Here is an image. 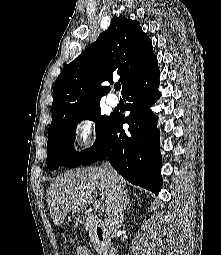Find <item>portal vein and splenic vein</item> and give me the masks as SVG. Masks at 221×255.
<instances>
[{
  "label": "portal vein and splenic vein",
  "mask_w": 221,
  "mask_h": 255,
  "mask_svg": "<svg viewBox=\"0 0 221 255\" xmlns=\"http://www.w3.org/2000/svg\"><path fill=\"white\" fill-rule=\"evenodd\" d=\"M103 207H102V204H101V202H96L95 203V209L96 210H99V209H102Z\"/></svg>",
  "instance_id": "obj_1"
}]
</instances>
